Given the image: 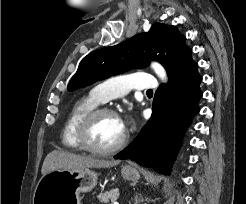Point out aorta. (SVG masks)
I'll list each match as a JSON object with an SVG mask.
<instances>
[{"mask_svg":"<svg viewBox=\"0 0 246 204\" xmlns=\"http://www.w3.org/2000/svg\"><path fill=\"white\" fill-rule=\"evenodd\" d=\"M152 69L154 70V72L157 74V76L162 80L165 81L166 80V72L164 70V68L157 62H153L151 64Z\"/></svg>","mask_w":246,"mask_h":204,"instance_id":"aorta-1","label":"aorta"}]
</instances>
